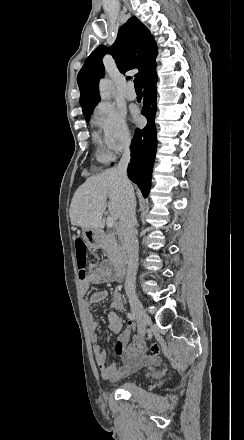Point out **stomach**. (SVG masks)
<instances>
[{"instance_id":"1","label":"stomach","mask_w":244,"mask_h":440,"mask_svg":"<svg viewBox=\"0 0 244 440\" xmlns=\"http://www.w3.org/2000/svg\"><path fill=\"white\" fill-rule=\"evenodd\" d=\"M82 238L89 248H99L102 244L101 232L98 228H82Z\"/></svg>"}]
</instances>
